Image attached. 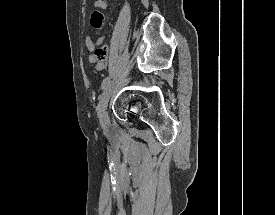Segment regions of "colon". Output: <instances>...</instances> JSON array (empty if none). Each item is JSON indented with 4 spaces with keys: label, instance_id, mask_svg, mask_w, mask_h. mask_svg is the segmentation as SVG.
I'll list each match as a JSON object with an SVG mask.
<instances>
[{
    "label": "colon",
    "instance_id": "obj_1",
    "mask_svg": "<svg viewBox=\"0 0 275 215\" xmlns=\"http://www.w3.org/2000/svg\"><path fill=\"white\" fill-rule=\"evenodd\" d=\"M108 1V0H107ZM103 23V16L100 12L95 11L92 13L91 18H90V25L94 29H98L102 26ZM95 56L98 59V61L101 62H106L107 60V51L105 48H97L95 50Z\"/></svg>",
    "mask_w": 275,
    "mask_h": 215
}]
</instances>
